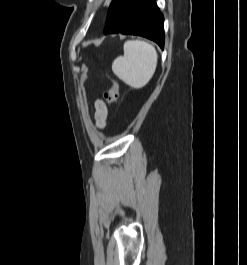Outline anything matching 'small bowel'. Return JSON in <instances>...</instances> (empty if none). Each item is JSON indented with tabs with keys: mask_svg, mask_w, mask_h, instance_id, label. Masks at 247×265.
I'll list each match as a JSON object with an SVG mask.
<instances>
[{
	"mask_svg": "<svg viewBox=\"0 0 247 265\" xmlns=\"http://www.w3.org/2000/svg\"><path fill=\"white\" fill-rule=\"evenodd\" d=\"M108 116V111L106 104L102 100H97L95 102V119L97 125L103 128L106 125V120Z\"/></svg>",
	"mask_w": 247,
	"mask_h": 265,
	"instance_id": "small-bowel-1",
	"label": "small bowel"
}]
</instances>
